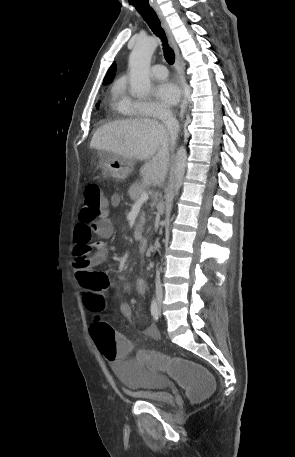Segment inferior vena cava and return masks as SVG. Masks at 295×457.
Masks as SVG:
<instances>
[{"mask_svg": "<svg viewBox=\"0 0 295 457\" xmlns=\"http://www.w3.org/2000/svg\"><path fill=\"white\" fill-rule=\"evenodd\" d=\"M160 119L165 125L168 133L170 134L171 138L174 140L177 137L179 131V124L177 119L175 118L174 114L170 109H163L160 113ZM156 297L157 299H162L163 291L162 285L160 281V274L159 271H156Z\"/></svg>", "mask_w": 295, "mask_h": 457, "instance_id": "1", "label": "inferior vena cava"}]
</instances>
